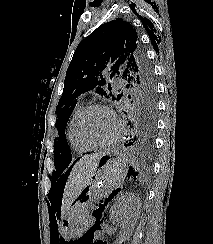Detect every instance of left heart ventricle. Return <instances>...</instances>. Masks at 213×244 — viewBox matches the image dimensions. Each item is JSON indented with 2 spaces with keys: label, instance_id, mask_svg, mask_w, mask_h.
Masks as SVG:
<instances>
[{
  "label": "left heart ventricle",
  "instance_id": "obj_1",
  "mask_svg": "<svg viewBox=\"0 0 213 244\" xmlns=\"http://www.w3.org/2000/svg\"><path fill=\"white\" fill-rule=\"evenodd\" d=\"M115 128L113 118L103 110H92L83 125L85 135L94 142L109 140L113 136Z\"/></svg>",
  "mask_w": 213,
  "mask_h": 244
}]
</instances>
